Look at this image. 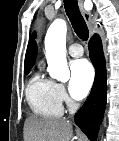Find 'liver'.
Segmentation results:
<instances>
[{
  "label": "liver",
  "mask_w": 119,
  "mask_h": 141,
  "mask_svg": "<svg viewBox=\"0 0 119 141\" xmlns=\"http://www.w3.org/2000/svg\"><path fill=\"white\" fill-rule=\"evenodd\" d=\"M25 141H69L72 124L65 119L28 117L24 123Z\"/></svg>",
  "instance_id": "1"
}]
</instances>
